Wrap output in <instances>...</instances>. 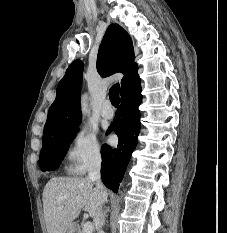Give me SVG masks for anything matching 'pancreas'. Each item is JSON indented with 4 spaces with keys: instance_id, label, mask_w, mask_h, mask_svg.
I'll use <instances>...</instances> for the list:
<instances>
[{
    "instance_id": "1",
    "label": "pancreas",
    "mask_w": 227,
    "mask_h": 233,
    "mask_svg": "<svg viewBox=\"0 0 227 233\" xmlns=\"http://www.w3.org/2000/svg\"><path fill=\"white\" fill-rule=\"evenodd\" d=\"M78 233H83V230H82V231H79Z\"/></svg>"
}]
</instances>
